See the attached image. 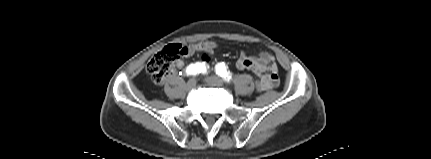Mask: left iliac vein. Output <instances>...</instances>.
Returning <instances> with one entry per match:
<instances>
[{"mask_svg":"<svg viewBox=\"0 0 431 159\" xmlns=\"http://www.w3.org/2000/svg\"><path fill=\"white\" fill-rule=\"evenodd\" d=\"M208 85L211 86H222L223 81L217 76H210L204 80Z\"/></svg>","mask_w":431,"mask_h":159,"instance_id":"1","label":"left iliac vein"}]
</instances>
